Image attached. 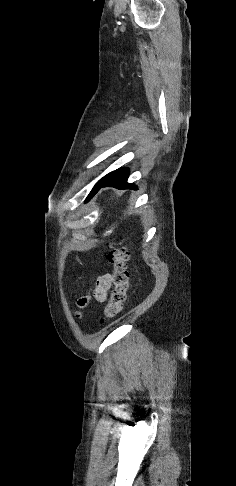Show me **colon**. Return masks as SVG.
I'll return each mask as SVG.
<instances>
[{
  "instance_id": "obj_1",
  "label": "colon",
  "mask_w": 236,
  "mask_h": 486,
  "mask_svg": "<svg viewBox=\"0 0 236 486\" xmlns=\"http://www.w3.org/2000/svg\"><path fill=\"white\" fill-rule=\"evenodd\" d=\"M129 253L120 241L110 245L108 261L112 265L113 289L104 310L103 320L117 316L123 309L129 286Z\"/></svg>"
}]
</instances>
